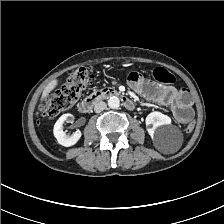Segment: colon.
<instances>
[{"instance_id": "obj_1", "label": "colon", "mask_w": 224, "mask_h": 224, "mask_svg": "<svg viewBox=\"0 0 224 224\" xmlns=\"http://www.w3.org/2000/svg\"><path fill=\"white\" fill-rule=\"evenodd\" d=\"M153 77L158 82L165 84H174L177 81L175 75L163 67H156L153 70ZM90 80L91 76L87 68H76L61 88L42 99L39 105V114L54 117L71 108L79 100ZM194 126V122H190L186 131L191 132Z\"/></svg>"}]
</instances>
